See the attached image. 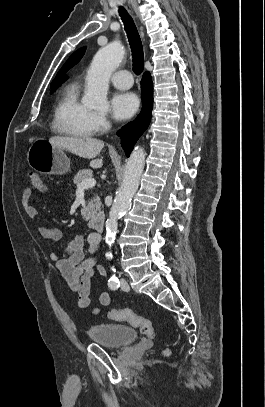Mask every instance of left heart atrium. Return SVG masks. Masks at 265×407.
Wrapping results in <instances>:
<instances>
[{
    "label": "left heart atrium",
    "instance_id": "obj_1",
    "mask_svg": "<svg viewBox=\"0 0 265 407\" xmlns=\"http://www.w3.org/2000/svg\"><path fill=\"white\" fill-rule=\"evenodd\" d=\"M110 106L117 119L125 120L136 113L139 108V100L131 92H116L111 98Z\"/></svg>",
    "mask_w": 265,
    "mask_h": 407
}]
</instances>
